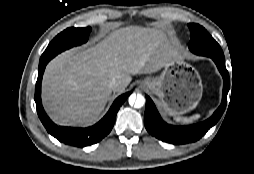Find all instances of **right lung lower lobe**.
I'll return each instance as SVG.
<instances>
[{"mask_svg":"<svg viewBox=\"0 0 254 174\" xmlns=\"http://www.w3.org/2000/svg\"><path fill=\"white\" fill-rule=\"evenodd\" d=\"M47 63L48 62H44L39 65L38 78L35 88V102L38 116L48 133L57 138L60 142L76 147L89 146L102 140L111 131L120 106L124 103L131 92H127L119 96L114 101L103 119L91 127L71 128L57 126L46 115L41 103V81Z\"/></svg>","mask_w":254,"mask_h":174,"instance_id":"obj_1","label":"right lung lower lobe"}]
</instances>
